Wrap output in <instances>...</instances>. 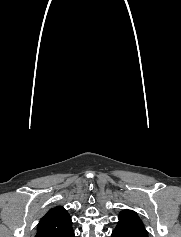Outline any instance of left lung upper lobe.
<instances>
[{"label":"left lung upper lobe","instance_id":"left-lung-upper-lobe-1","mask_svg":"<svg viewBox=\"0 0 181 237\" xmlns=\"http://www.w3.org/2000/svg\"><path fill=\"white\" fill-rule=\"evenodd\" d=\"M115 230L120 232L133 231L148 235V232L138 214L129 209L120 212L119 221Z\"/></svg>","mask_w":181,"mask_h":237}]
</instances>
